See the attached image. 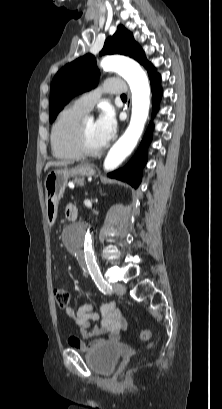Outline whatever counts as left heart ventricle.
Returning a JSON list of instances; mask_svg holds the SVG:
<instances>
[{
	"mask_svg": "<svg viewBox=\"0 0 222 409\" xmlns=\"http://www.w3.org/2000/svg\"><path fill=\"white\" fill-rule=\"evenodd\" d=\"M85 142L87 147L91 150L101 148L93 119H86L85 121Z\"/></svg>",
	"mask_w": 222,
	"mask_h": 409,
	"instance_id": "obj_1",
	"label": "left heart ventricle"
}]
</instances>
